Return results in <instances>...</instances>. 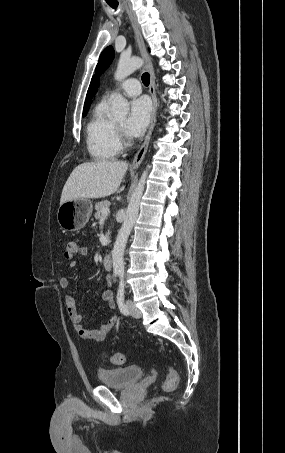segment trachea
<instances>
[{"instance_id": "1", "label": "trachea", "mask_w": 285, "mask_h": 453, "mask_svg": "<svg viewBox=\"0 0 285 453\" xmlns=\"http://www.w3.org/2000/svg\"><path fill=\"white\" fill-rule=\"evenodd\" d=\"M107 3H108V5H109L110 7L114 8V9H116L117 6H118V2L115 1V0H113V2H108V0H107ZM141 79H142V82H143V84H144L145 86H148V85H149V83H150V75H149L147 72L142 74Z\"/></svg>"}]
</instances>
